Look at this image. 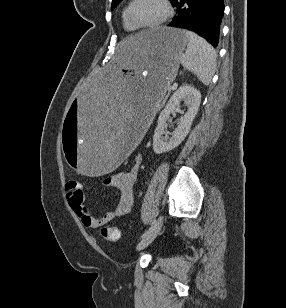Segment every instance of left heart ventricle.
<instances>
[{
	"instance_id": "left-heart-ventricle-1",
	"label": "left heart ventricle",
	"mask_w": 286,
	"mask_h": 308,
	"mask_svg": "<svg viewBox=\"0 0 286 308\" xmlns=\"http://www.w3.org/2000/svg\"><path fill=\"white\" fill-rule=\"evenodd\" d=\"M164 15L160 0H137L132 9V16L138 24H151Z\"/></svg>"
}]
</instances>
